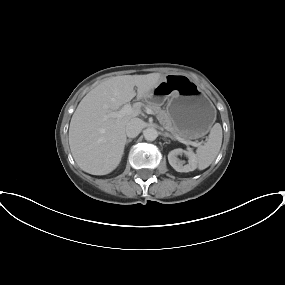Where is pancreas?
<instances>
[{
    "instance_id": "1",
    "label": "pancreas",
    "mask_w": 285,
    "mask_h": 285,
    "mask_svg": "<svg viewBox=\"0 0 285 285\" xmlns=\"http://www.w3.org/2000/svg\"><path fill=\"white\" fill-rule=\"evenodd\" d=\"M145 108L151 109L154 112L157 119L164 126L165 129H167L169 132H171L174 135L182 136L180 131L173 125L168 113L165 110L161 109L160 106L148 102L145 105Z\"/></svg>"
}]
</instances>
